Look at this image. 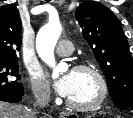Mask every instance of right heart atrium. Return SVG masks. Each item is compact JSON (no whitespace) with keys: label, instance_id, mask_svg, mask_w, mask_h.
<instances>
[{"label":"right heart atrium","instance_id":"1","mask_svg":"<svg viewBox=\"0 0 133 118\" xmlns=\"http://www.w3.org/2000/svg\"><path fill=\"white\" fill-rule=\"evenodd\" d=\"M31 88L34 95L40 99H47L50 96L49 83L41 72L31 73Z\"/></svg>","mask_w":133,"mask_h":118}]
</instances>
